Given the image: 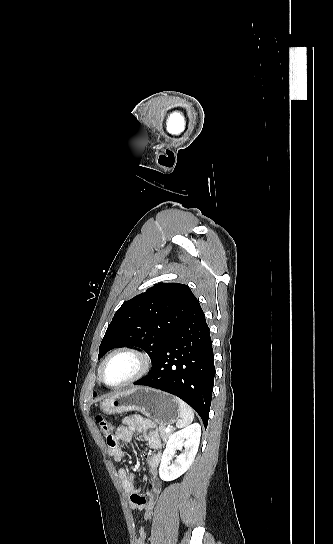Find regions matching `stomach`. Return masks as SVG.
Here are the masks:
<instances>
[{
  "label": "stomach",
  "mask_w": 333,
  "mask_h": 544,
  "mask_svg": "<svg viewBox=\"0 0 333 544\" xmlns=\"http://www.w3.org/2000/svg\"><path fill=\"white\" fill-rule=\"evenodd\" d=\"M100 408L107 414L139 411L148 418H154L159 425L174 423L180 415L174 396L140 386L117 392L104 400Z\"/></svg>",
  "instance_id": "0dacf381"
}]
</instances>
